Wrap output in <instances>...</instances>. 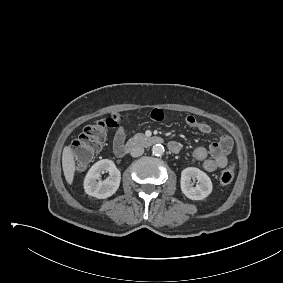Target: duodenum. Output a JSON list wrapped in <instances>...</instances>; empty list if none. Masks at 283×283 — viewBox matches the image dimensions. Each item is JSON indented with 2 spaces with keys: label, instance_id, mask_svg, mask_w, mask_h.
<instances>
[{
  "label": "duodenum",
  "instance_id": "obj_1",
  "mask_svg": "<svg viewBox=\"0 0 283 283\" xmlns=\"http://www.w3.org/2000/svg\"><path fill=\"white\" fill-rule=\"evenodd\" d=\"M161 143H163V139L159 136L133 138L121 148L119 156H124L139 146H153Z\"/></svg>",
  "mask_w": 283,
  "mask_h": 283
}]
</instances>
